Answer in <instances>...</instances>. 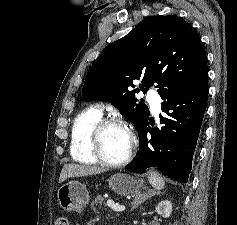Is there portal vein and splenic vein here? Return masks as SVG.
<instances>
[{
	"label": "portal vein and splenic vein",
	"mask_w": 237,
	"mask_h": 225,
	"mask_svg": "<svg viewBox=\"0 0 237 225\" xmlns=\"http://www.w3.org/2000/svg\"><path fill=\"white\" fill-rule=\"evenodd\" d=\"M107 206L110 207L115 212H122V211L125 210V206L115 204L113 200H108L107 201Z\"/></svg>",
	"instance_id": "obj_1"
}]
</instances>
